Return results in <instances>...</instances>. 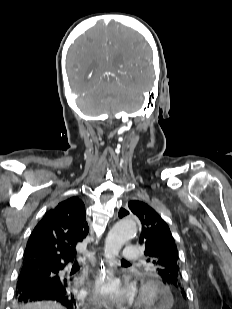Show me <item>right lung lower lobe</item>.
<instances>
[{
    "mask_svg": "<svg viewBox=\"0 0 232 309\" xmlns=\"http://www.w3.org/2000/svg\"><path fill=\"white\" fill-rule=\"evenodd\" d=\"M64 267L39 270L35 263H23L20 273L29 275L31 278L26 280L23 277H18L15 302L24 304L41 300H54L72 309L75 305L72 280L70 277L62 276L59 273Z\"/></svg>",
    "mask_w": 232,
    "mask_h": 309,
    "instance_id": "right-lung-lower-lobe-1",
    "label": "right lung lower lobe"
}]
</instances>
